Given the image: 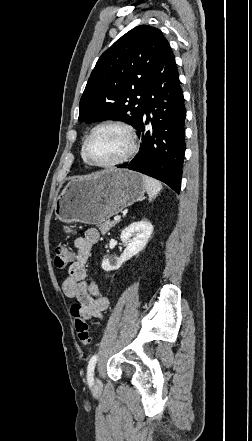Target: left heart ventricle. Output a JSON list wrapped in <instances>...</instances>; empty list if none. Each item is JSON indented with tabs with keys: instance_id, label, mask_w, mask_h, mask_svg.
<instances>
[{
	"instance_id": "b2bd125f",
	"label": "left heart ventricle",
	"mask_w": 252,
	"mask_h": 441,
	"mask_svg": "<svg viewBox=\"0 0 252 441\" xmlns=\"http://www.w3.org/2000/svg\"><path fill=\"white\" fill-rule=\"evenodd\" d=\"M128 148V141L120 129L105 127L98 130L88 143L89 157L98 163L120 158Z\"/></svg>"
}]
</instances>
